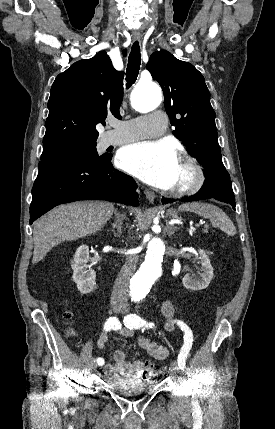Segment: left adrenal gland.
<instances>
[{
	"label": "left adrenal gland",
	"mask_w": 275,
	"mask_h": 429,
	"mask_svg": "<svg viewBox=\"0 0 275 429\" xmlns=\"http://www.w3.org/2000/svg\"><path fill=\"white\" fill-rule=\"evenodd\" d=\"M166 230H167L168 235L172 236L174 234L175 230H177V227L167 225Z\"/></svg>",
	"instance_id": "left-adrenal-gland-1"
}]
</instances>
